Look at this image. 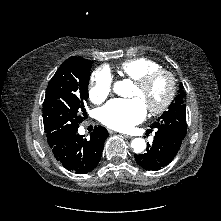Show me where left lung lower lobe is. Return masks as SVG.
<instances>
[{"mask_svg":"<svg viewBox=\"0 0 221 221\" xmlns=\"http://www.w3.org/2000/svg\"><path fill=\"white\" fill-rule=\"evenodd\" d=\"M156 128L153 144H147L145 153L135 155V160L145 170H159L176 156L185 135L166 125Z\"/></svg>","mask_w":221,"mask_h":221,"instance_id":"left-lung-lower-lobe-1","label":"left lung lower lobe"}]
</instances>
